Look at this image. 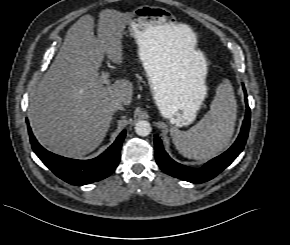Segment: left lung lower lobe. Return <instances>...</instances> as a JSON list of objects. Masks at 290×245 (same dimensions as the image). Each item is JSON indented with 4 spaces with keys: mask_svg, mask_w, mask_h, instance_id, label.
I'll use <instances>...</instances> for the list:
<instances>
[{
    "mask_svg": "<svg viewBox=\"0 0 290 245\" xmlns=\"http://www.w3.org/2000/svg\"><path fill=\"white\" fill-rule=\"evenodd\" d=\"M246 96V91H244ZM250 125V108L246 101V115L241 132L235 143L223 154L210 160L201 168H190L172 160L163 149L160 138L155 135L156 161L167 174L192 183H203L218 175L241 153L247 140Z\"/></svg>",
    "mask_w": 290,
    "mask_h": 245,
    "instance_id": "0a47b994",
    "label": "left lung lower lobe"
}]
</instances>
